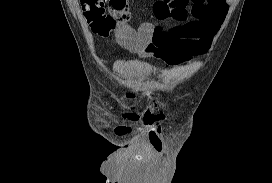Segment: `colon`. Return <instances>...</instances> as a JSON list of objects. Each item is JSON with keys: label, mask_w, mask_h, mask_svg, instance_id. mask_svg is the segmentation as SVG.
Listing matches in <instances>:
<instances>
[{"label": "colon", "mask_w": 272, "mask_h": 183, "mask_svg": "<svg viewBox=\"0 0 272 183\" xmlns=\"http://www.w3.org/2000/svg\"><path fill=\"white\" fill-rule=\"evenodd\" d=\"M107 0H80L85 18L93 31L107 36L115 31L125 16L127 0H110V12L105 8Z\"/></svg>", "instance_id": "colon-1"}]
</instances>
